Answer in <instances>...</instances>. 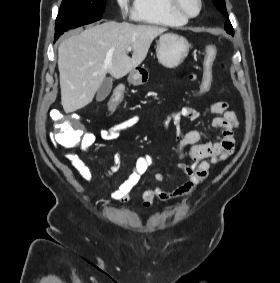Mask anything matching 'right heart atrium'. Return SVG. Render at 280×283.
<instances>
[{"instance_id":"right-heart-atrium-1","label":"right heart atrium","mask_w":280,"mask_h":283,"mask_svg":"<svg viewBox=\"0 0 280 283\" xmlns=\"http://www.w3.org/2000/svg\"><path fill=\"white\" fill-rule=\"evenodd\" d=\"M118 7L123 14H127L130 10V0H117Z\"/></svg>"}]
</instances>
